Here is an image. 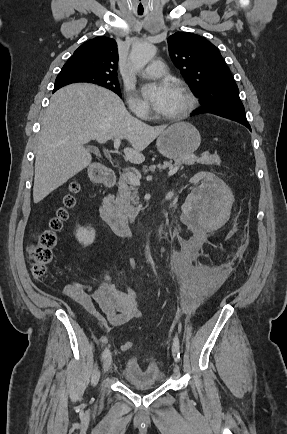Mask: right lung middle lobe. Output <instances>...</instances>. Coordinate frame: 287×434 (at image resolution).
<instances>
[{
    "instance_id": "right-lung-middle-lobe-1",
    "label": "right lung middle lobe",
    "mask_w": 287,
    "mask_h": 434,
    "mask_svg": "<svg viewBox=\"0 0 287 434\" xmlns=\"http://www.w3.org/2000/svg\"><path fill=\"white\" fill-rule=\"evenodd\" d=\"M92 83L108 88L121 97L117 76L94 74L74 68H62L56 78L55 86H64L71 83Z\"/></svg>"
}]
</instances>
